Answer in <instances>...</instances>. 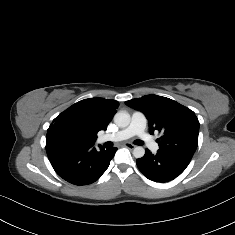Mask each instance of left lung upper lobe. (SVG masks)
Returning a JSON list of instances; mask_svg holds the SVG:
<instances>
[{"label":"left lung upper lobe","instance_id":"5c2ea615","mask_svg":"<svg viewBox=\"0 0 235 235\" xmlns=\"http://www.w3.org/2000/svg\"><path fill=\"white\" fill-rule=\"evenodd\" d=\"M125 104L143 112L150 127L162 133L157 139L159 150L192 159L197 146L199 121L195 113L178 102L157 95H145Z\"/></svg>","mask_w":235,"mask_h":235}]
</instances>
